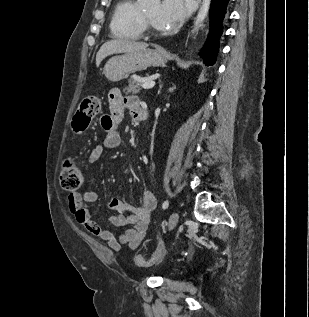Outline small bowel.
Wrapping results in <instances>:
<instances>
[{"instance_id":"small-bowel-1","label":"small bowel","mask_w":309,"mask_h":317,"mask_svg":"<svg viewBox=\"0 0 309 317\" xmlns=\"http://www.w3.org/2000/svg\"><path fill=\"white\" fill-rule=\"evenodd\" d=\"M110 112L101 117V126L105 131L103 143L97 145L88 157L89 163L97 162L105 150H112L120 144L118 126L122 121L124 110L128 109L134 120H139L141 109L140 101L135 96H124L119 89L109 92ZM98 200V193L94 190L73 192L68 196V206L71 214L78 224L88 232L105 242L113 251H120L123 245L134 250L144 238L150 223L151 213L156 208V198L151 191L142 194L140 206L124 203L119 199H111L109 208L116 214L107 219L115 226H131L119 237L110 230L94 221L88 210V204Z\"/></svg>"}]
</instances>
